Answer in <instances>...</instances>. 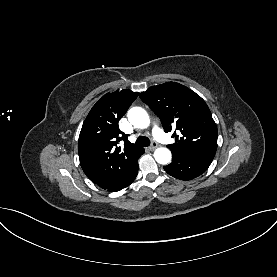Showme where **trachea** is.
Masks as SVG:
<instances>
[{
	"label": "trachea",
	"instance_id": "3493384b",
	"mask_svg": "<svg viewBox=\"0 0 277 277\" xmlns=\"http://www.w3.org/2000/svg\"><path fill=\"white\" fill-rule=\"evenodd\" d=\"M135 143L137 146L146 147L150 145V140L147 137L140 136L137 138Z\"/></svg>",
	"mask_w": 277,
	"mask_h": 277
}]
</instances>
